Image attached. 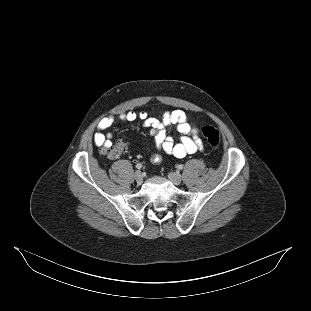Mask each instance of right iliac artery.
I'll use <instances>...</instances> for the list:
<instances>
[{
	"mask_svg": "<svg viewBox=\"0 0 311 311\" xmlns=\"http://www.w3.org/2000/svg\"><path fill=\"white\" fill-rule=\"evenodd\" d=\"M136 168L137 169H141L142 168V164H140V163L136 164Z\"/></svg>",
	"mask_w": 311,
	"mask_h": 311,
	"instance_id": "right-iliac-artery-1",
	"label": "right iliac artery"
}]
</instances>
